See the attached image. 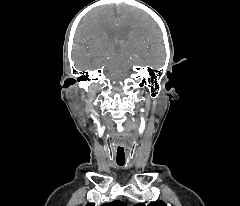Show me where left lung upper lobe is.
Segmentation results:
<instances>
[{"label": "left lung upper lobe", "instance_id": "5c2ea615", "mask_svg": "<svg viewBox=\"0 0 240 206\" xmlns=\"http://www.w3.org/2000/svg\"><path fill=\"white\" fill-rule=\"evenodd\" d=\"M135 206H146L144 203L136 204ZM147 206H166L163 201H156L148 204Z\"/></svg>", "mask_w": 240, "mask_h": 206}]
</instances>
